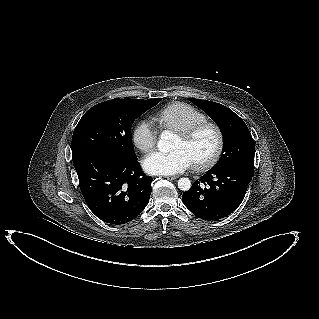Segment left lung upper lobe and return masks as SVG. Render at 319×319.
<instances>
[{"mask_svg":"<svg viewBox=\"0 0 319 319\" xmlns=\"http://www.w3.org/2000/svg\"><path fill=\"white\" fill-rule=\"evenodd\" d=\"M206 112L223 135V155L212 169L240 166L254 171L255 145L245 122L229 108L207 100L189 99Z\"/></svg>","mask_w":319,"mask_h":319,"instance_id":"5c2ea615","label":"left lung upper lobe"}]
</instances>
